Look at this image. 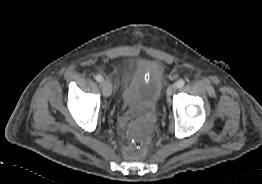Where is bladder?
<instances>
[{"label": "bladder", "instance_id": "obj_1", "mask_svg": "<svg viewBox=\"0 0 262 184\" xmlns=\"http://www.w3.org/2000/svg\"><path fill=\"white\" fill-rule=\"evenodd\" d=\"M165 74H154L147 68L136 71L126 81L121 93L122 103L127 110L142 113L155 107L164 89Z\"/></svg>", "mask_w": 262, "mask_h": 184}]
</instances>
